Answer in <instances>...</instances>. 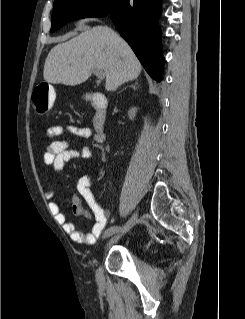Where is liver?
<instances>
[{
	"mask_svg": "<svg viewBox=\"0 0 245 319\" xmlns=\"http://www.w3.org/2000/svg\"><path fill=\"white\" fill-rule=\"evenodd\" d=\"M96 69L105 74V89L115 91L136 79L142 67L127 42L114 30L95 26L54 46L45 60L43 77L52 84L75 86L85 82Z\"/></svg>",
	"mask_w": 245,
	"mask_h": 319,
	"instance_id": "6515ba94",
	"label": "liver"
}]
</instances>
